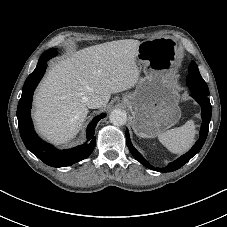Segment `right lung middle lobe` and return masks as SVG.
<instances>
[{"label": "right lung middle lobe", "instance_id": "obj_1", "mask_svg": "<svg viewBox=\"0 0 227 227\" xmlns=\"http://www.w3.org/2000/svg\"><path fill=\"white\" fill-rule=\"evenodd\" d=\"M55 55H56V48H51V49L45 51V52L41 55L40 59H41V58L50 59L51 57H54ZM40 59H39V60H40Z\"/></svg>", "mask_w": 227, "mask_h": 227}]
</instances>
